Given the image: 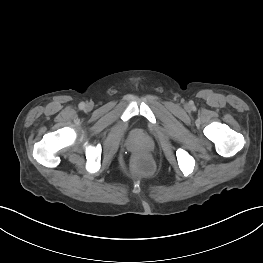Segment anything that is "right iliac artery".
<instances>
[{"instance_id": "right-iliac-artery-1", "label": "right iliac artery", "mask_w": 263, "mask_h": 263, "mask_svg": "<svg viewBox=\"0 0 263 263\" xmlns=\"http://www.w3.org/2000/svg\"><path fill=\"white\" fill-rule=\"evenodd\" d=\"M79 108H80V109H84V108H85V103H84V102H81V103L79 104Z\"/></svg>"}]
</instances>
